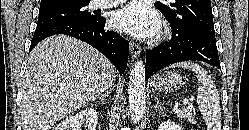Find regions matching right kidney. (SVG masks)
Listing matches in <instances>:
<instances>
[{
	"instance_id": "ca27d5eb",
	"label": "right kidney",
	"mask_w": 249,
	"mask_h": 130,
	"mask_svg": "<svg viewBox=\"0 0 249 130\" xmlns=\"http://www.w3.org/2000/svg\"><path fill=\"white\" fill-rule=\"evenodd\" d=\"M98 114L93 108H86L77 114L70 116L59 123L55 130H81L84 126L87 130H96Z\"/></svg>"
}]
</instances>
